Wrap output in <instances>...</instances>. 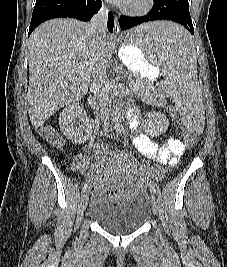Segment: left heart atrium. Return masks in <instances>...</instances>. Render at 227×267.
Here are the masks:
<instances>
[{
	"instance_id": "39dd6f15",
	"label": "left heart atrium",
	"mask_w": 227,
	"mask_h": 267,
	"mask_svg": "<svg viewBox=\"0 0 227 267\" xmlns=\"http://www.w3.org/2000/svg\"><path fill=\"white\" fill-rule=\"evenodd\" d=\"M110 2L116 3L118 5H128L130 4L133 0H109Z\"/></svg>"
}]
</instances>
